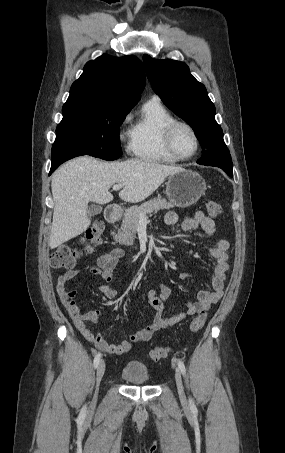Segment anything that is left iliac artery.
Here are the masks:
<instances>
[{"instance_id": "44dca946", "label": "left iliac artery", "mask_w": 285, "mask_h": 453, "mask_svg": "<svg viewBox=\"0 0 285 453\" xmlns=\"http://www.w3.org/2000/svg\"><path fill=\"white\" fill-rule=\"evenodd\" d=\"M177 364H178V367H179L181 373L183 375H185L186 374V368H185L184 363L181 360H178ZM189 403H190V406H191L192 409H196V406H195V404H194V402H193V400L191 398L189 399Z\"/></svg>"}]
</instances>
